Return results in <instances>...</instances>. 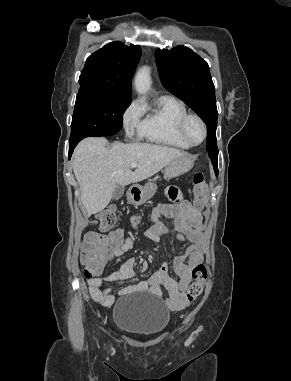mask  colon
Instances as JSON below:
<instances>
[{
  "label": "colon",
  "instance_id": "1",
  "mask_svg": "<svg viewBox=\"0 0 291 381\" xmlns=\"http://www.w3.org/2000/svg\"><path fill=\"white\" fill-rule=\"evenodd\" d=\"M209 187L201 173L194 176V197L198 205L204 203L208 197ZM96 220L101 232H106L113 227L117 220V210L109 207L97 214ZM107 257L102 250L83 248L81 262L84 265V275L87 278L97 277L102 271ZM193 282L187 289L186 296L189 301L195 300L203 291L204 283L208 277V269L203 263L195 265L192 269Z\"/></svg>",
  "mask_w": 291,
  "mask_h": 381
}]
</instances>
